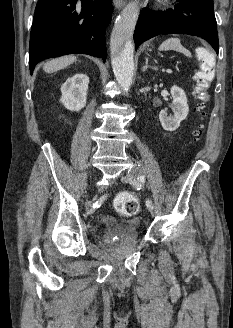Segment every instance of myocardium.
<instances>
[{"instance_id":"1","label":"myocardium","mask_w":233,"mask_h":328,"mask_svg":"<svg viewBox=\"0 0 233 328\" xmlns=\"http://www.w3.org/2000/svg\"><path fill=\"white\" fill-rule=\"evenodd\" d=\"M163 4H168V0H163Z\"/></svg>"}]
</instances>
